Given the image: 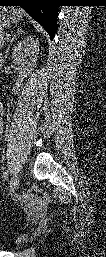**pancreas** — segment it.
<instances>
[{
	"instance_id": "cf45deb5",
	"label": "pancreas",
	"mask_w": 106,
	"mask_h": 257,
	"mask_svg": "<svg viewBox=\"0 0 106 257\" xmlns=\"http://www.w3.org/2000/svg\"><path fill=\"white\" fill-rule=\"evenodd\" d=\"M7 41H8V38L3 37V35H2V37H1V39H0L1 47H3V46H4V44H5Z\"/></svg>"
}]
</instances>
